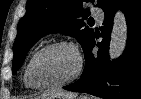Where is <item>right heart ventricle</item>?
<instances>
[{"label":"right heart ventricle","instance_id":"1","mask_svg":"<svg viewBox=\"0 0 141 99\" xmlns=\"http://www.w3.org/2000/svg\"><path fill=\"white\" fill-rule=\"evenodd\" d=\"M24 84H25V86H26L27 88L34 89V88L28 83V81H27V79H26V74H24Z\"/></svg>","mask_w":141,"mask_h":99}]
</instances>
